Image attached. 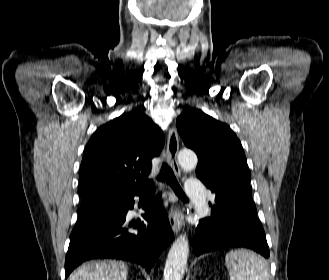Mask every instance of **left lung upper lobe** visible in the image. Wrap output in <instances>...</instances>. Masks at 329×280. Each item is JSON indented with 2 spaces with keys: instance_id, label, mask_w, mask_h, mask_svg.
Segmentation results:
<instances>
[{
  "instance_id": "1",
  "label": "left lung upper lobe",
  "mask_w": 329,
  "mask_h": 280,
  "mask_svg": "<svg viewBox=\"0 0 329 280\" xmlns=\"http://www.w3.org/2000/svg\"><path fill=\"white\" fill-rule=\"evenodd\" d=\"M176 125L185 145L196 152V175L216 193L215 201L249 192L251 174L246 157L228 125L195 108L184 111Z\"/></svg>"
}]
</instances>
